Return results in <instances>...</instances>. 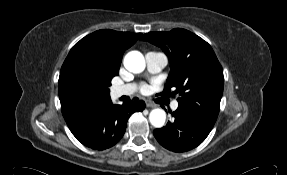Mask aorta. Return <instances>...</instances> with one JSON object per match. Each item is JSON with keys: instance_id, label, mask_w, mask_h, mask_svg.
I'll return each mask as SVG.
<instances>
[{"instance_id": "obj_1", "label": "aorta", "mask_w": 287, "mask_h": 175, "mask_svg": "<svg viewBox=\"0 0 287 175\" xmlns=\"http://www.w3.org/2000/svg\"><path fill=\"white\" fill-rule=\"evenodd\" d=\"M124 66L132 73H141L146 66L145 58L139 51H130L124 57ZM165 120L166 113L163 109H153L149 114V121L156 128L163 127Z\"/></svg>"}]
</instances>
